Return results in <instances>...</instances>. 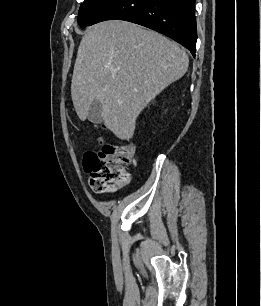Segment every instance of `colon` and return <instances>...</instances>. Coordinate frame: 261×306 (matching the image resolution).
Listing matches in <instances>:
<instances>
[{"label": "colon", "mask_w": 261, "mask_h": 306, "mask_svg": "<svg viewBox=\"0 0 261 306\" xmlns=\"http://www.w3.org/2000/svg\"><path fill=\"white\" fill-rule=\"evenodd\" d=\"M134 150L130 145L104 143L99 152H87L83 165L89 173L90 186L96 192H105L111 188L128 183L126 167L131 163Z\"/></svg>", "instance_id": "5ec220e1"}]
</instances>
